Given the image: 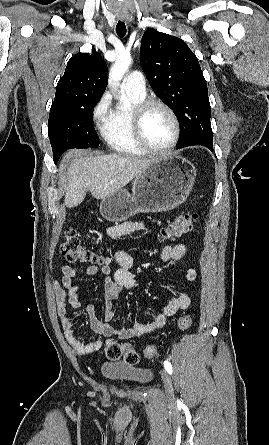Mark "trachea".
Masks as SVG:
<instances>
[{
	"instance_id": "1",
	"label": "trachea",
	"mask_w": 269,
	"mask_h": 445,
	"mask_svg": "<svg viewBox=\"0 0 269 445\" xmlns=\"http://www.w3.org/2000/svg\"><path fill=\"white\" fill-rule=\"evenodd\" d=\"M126 25L123 21H118L116 26V33L119 37H124L126 34Z\"/></svg>"
}]
</instances>
